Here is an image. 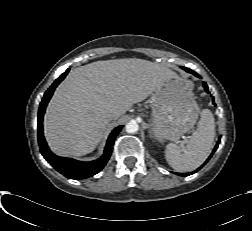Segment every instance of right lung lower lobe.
<instances>
[{
    "label": "right lung lower lobe",
    "instance_id": "98d812e1",
    "mask_svg": "<svg viewBox=\"0 0 252 231\" xmlns=\"http://www.w3.org/2000/svg\"><path fill=\"white\" fill-rule=\"evenodd\" d=\"M70 69H67L45 92L38 112V142L42 155L58 172L70 179H85L100 172L111 156L114 139L123 126H118L110 134L102 157L91 162H80L70 158H62L53 154L43 135L42 121L46 106L57 85L65 78Z\"/></svg>",
    "mask_w": 252,
    "mask_h": 231
}]
</instances>
